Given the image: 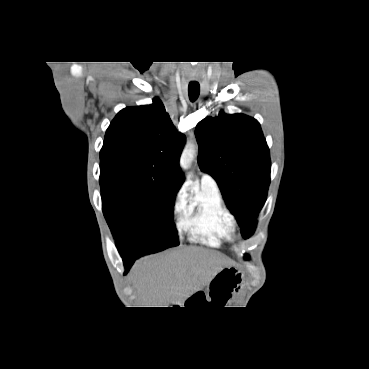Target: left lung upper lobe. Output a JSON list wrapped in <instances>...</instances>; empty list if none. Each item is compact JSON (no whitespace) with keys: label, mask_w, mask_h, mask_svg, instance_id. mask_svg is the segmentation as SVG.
Listing matches in <instances>:
<instances>
[{"label":"left lung upper lobe","mask_w":369,"mask_h":369,"mask_svg":"<svg viewBox=\"0 0 369 369\" xmlns=\"http://www.w3.org/2000/svg\"><path fill=\"white\" fill-rule=\"evenodd\" d=\"M195 134L199 167L216 180L243 238H249L270 183L269 149L260 124L244 114L220 112L199 122Z\"/></svg>","instance_id":"5c2ea615"}]
</instances>
